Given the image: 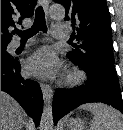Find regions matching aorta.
<instances>
[{
    "mask_svg": "<svg viewBox=\"0 0 123 130\" xmlns=\"http://www.w3.org/2000/svg\"><path fill=\"white\" fill-rule=\"evenodd\" d=\"M49 15L53 19H63L65 16V8L60 4H54L49 9ZM53 126L52 106L49 101H46L43 108L39 129L53 130Z\"/></svg>",
    "mask_w": 123,
    "mask_h": 130,
    "instance_id": "aorta-1",
    "label": "aorta"
}]
</instances>
